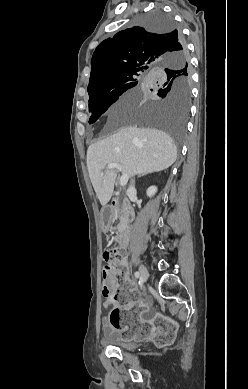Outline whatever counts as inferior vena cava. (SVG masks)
<instances>
[{
  "label": "inferior vena cava",
  "mask_w": 248,
  "mask_h": 389,
  "mask_svg": "<svg viewBox=\"0 0 248 389\" xmlns=\"http://www.w3.org/2000/svg\"><path fill=\"white\" fill-rule=\"evenodd\" d=\"M134 193H136L135 186H134V185H130L129 188L127 189V191H126V194H127L128 196H130V195H132V194H134Z\"/></svg>",
  "instance_id": "obj_1"
}]
</instances>
